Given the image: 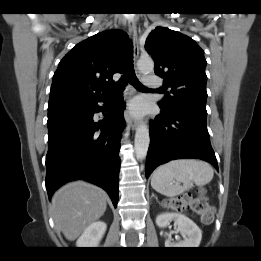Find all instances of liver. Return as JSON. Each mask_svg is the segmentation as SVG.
Segmentation results:
<instances>
[{"label":"liver","instance_id":"1","mask_svg":"<svg viewBox=\"0 0 261 261\" xmlns=\"http://www.w3.org/2000/svg\"><path fill=\"white\" fill-rule=\"evenodd\" d=\"M106 200V192L97 186L83 181L69 183L53 196L55 224L67 240L73 241L104 214Z\"/></svg>","mask_w":261,"mask_h":261}]
</instances>
